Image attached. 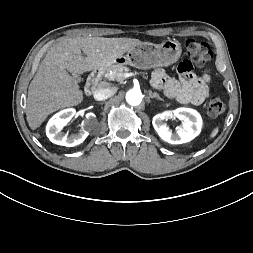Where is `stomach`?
<instances>
[{"label":"stomach","mask_w":253,"mask_h":253,"mask_svg":"<svg viewBox=\"0 0 253 253\" xmlns=\"http://www.w3.org/2000/svg\"><path fill=\"white\" fill-rule=\"evenodd\" d=\"M182 48L179 42L168 39L161 44L142 42L115 60L116 65H131L138 69L169 66L180 58Z\"/></svg>","instance_id":"0dacf381"}]
</instances>
